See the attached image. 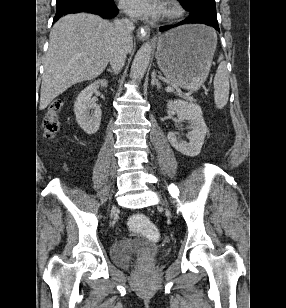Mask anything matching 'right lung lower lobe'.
Listing matches in <instances>:
<instances>
[{
    "label": "right lung lower lobe",
    "mask_w": 286,
    "mask_h": 308,
    "mask_svg": "<svg viewBox=\"0 0 286 308\" xmlns=\"http://www.w3.org/2000/svg\"><path fill=\"white\" fill-rule=\"evenodd\" d=\"M79 12H88L100 15L103 18H112L117 15L118 9L113 0H68L57 4L53 22L65 14Z\"/></svg>",
    "instance_id": "98d812e1"
}]
</instances>
